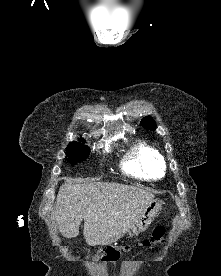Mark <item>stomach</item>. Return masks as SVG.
Returning a JSON list of instances; mask_svg holds the SVG:
<instances>
[{
	"mask_svg": "<svg viewBox=\"0 0 221 276\" xmlns=\"http://www.w3.org/2000/svg\"><path fill=\"white\" fill-rule=\"evenodd\" d=\"M162 201L159 199H153L145 208L143 214L138 221L128 231L130 237L137 236L140 232L146 230L148 225L152 222L162 209Z\"/></svg>",
	"mask_w": 221,
	"mask_h": 276,
	"instance_id": "0dacf381",
	"label": "stomach"
}]
</instances>
